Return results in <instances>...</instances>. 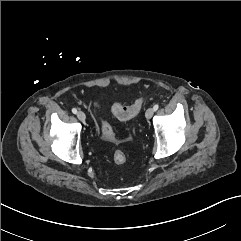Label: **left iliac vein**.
Listing matches in <instances>:
<instances>
[{"mask_svg":"<svg viewBox=\"0 0 241 241\" xmlns=\"http://www.w3.org/2000/svg\"><path fill=\"white\" fill-rule=\"evenodd\" d=\"M154 114V109L153 108H148L145 112V117L147 119H150Z\"/></svg>","mask_w":241,"mask_h":241,"instance_id":"4c4485c4","label":"left iliac vein"}]
</instances>
